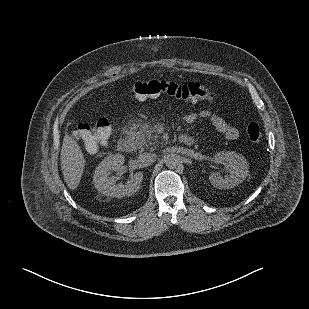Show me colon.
Masks as SVG:
<instances>
[{
    "label": "colon",
    "mask_w": 309,
    "mask_h": 309,
    "mask_svg": "<svg viewBox=\"0 0 309 309\" xmlns=\"http://www.w3.org/2000/svg\"><path fill=\"white\" fill-rule=\"evenodd\" d=\"M131 90L139 100L168 95L186 102L195 103L198 101H211L214 97L209 88L197 82L184 85L168 80L136 82L131 86ZM76 130L86 150L92 152L98 145L108 141L111 135V124L107 118L101 117L93 122L78 126ZM247 135L253 142L261 140L262 133L257 123L251 122L248 124Z\"/></svg>",
    "instance_id": "5ec220e1"
}]
</instances>
